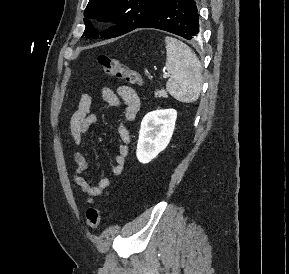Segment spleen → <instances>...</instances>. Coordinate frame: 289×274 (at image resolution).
<instances>
[{
    "label": "spleen",
    "mask_w": 289,
    "mask_h": 274,
    "mask_svg": "<svg viewBox=\"0 0 289 274\" xmlns=\"http://www.w3.org/2000/svg\"><path fill=\"white\" fill-rule=\"evenodd\" d=\"M166 70L170 78L166 89L181 102L191 103L198 99L202 89L201 64L196 54L182 41L165 37Z\"/></svg>",
    "instance_id": "1"
}]
</instances>
